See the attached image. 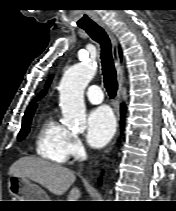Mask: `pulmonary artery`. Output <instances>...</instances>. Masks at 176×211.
I'll return each instance as SVG.
<instances>
[{
	"mask_svg": "<svg viewBox=\"0 0 176 211\" xmlns=\"http://www.w3.org/2000/svg\"><path fill=\"white\" fill-rule=\"evenodd\" d=\"M86 97L92 104H100L103 101L102 90L97 85H92L87 89Z\"/></svg>",
	"mask_w": 176,
	"mask_h": 211,
	"instance_id": "obj_1",
	"label": "pulmonary artery"
}]
</instances>
